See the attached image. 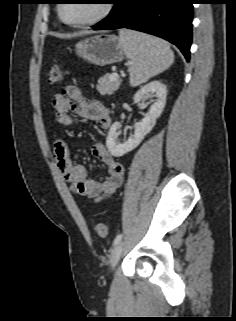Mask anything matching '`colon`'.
Returning a JSON list of instances; mask_svg holds the SVG:
<instances>
[{
	"instance_id": "1",
	"label": "colon",
	"mask_w": 236,
	"mask_h": 321,
	"mask_svg": "<svg viewBox=\"0 0 236 321\" xmlns=\"http://www.w3.org/2000/svg\"><path fill=\"white\" fill-rule=\"evenodd\" d=\"M63 73L60 66H53L47 74L46 81L49 85H56L62 81ZM95 233L100 237H105L108 233L107 225L103 221H96L93 224Z\"/></svg>"
}]
</instances>
